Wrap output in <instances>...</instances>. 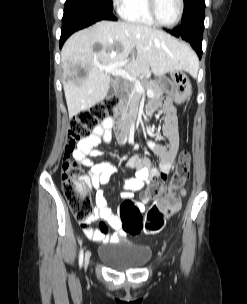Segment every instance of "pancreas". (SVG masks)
<instances>
[{
    "label": "pancreas",
    "instance_id": "cf45deb5",
    "mask_svg": "<svg viewBox=\"0 0 247 304\" xmlns=\"http://www.w3.org/2000/svg\"><path fill=\"white\" fill-rule=\"evenodd\" d=\"M148 90L154 92V98H159L163 95V89L157 81H149L145 83ZM141 105V95L132 90L129 95L128 106L130 107L131 113H137Z\"/></svg>",
    "mask_w": 247,
    "mask_h": 304
}]
</instances>
